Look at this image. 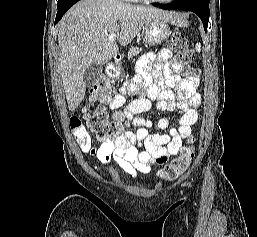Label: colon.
<instances>
[{
	"mask_svg": "<svg viewBox=\"0 0 257 237\" xmlns=\"http://www.w3.org/2000/svg\"><path fill=\"white\" fill-rule=\"evenodd\" d=\"M169 47L176 53L178 61L188 65L194 59V54L189 46L188 39L180 32H173L169 39ZM187 76H198L197 69L186 72ZM113 81L107 76H100L90 90V104L86 111V123L100 141H114L120 138L125 129L122 122L109 119L105 103L114 96ZM70 126L80 147L91 144L90 135L81 120L77 117L70 119ZM195 139L190 137L188 144L182 149L181 154L161 169L158 175L167 181L177 179L190 165L195 149Z\"/></svg>",
	"mask_w": 257,
	"mask_h": 237,
	"instance_id": "5ec220e1",
	"label": "colon"
}]
</instances>
